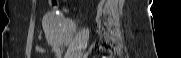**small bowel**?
<instances>
[{"mask_svg": "<svg viewBox=\"0 0 181 58\" xmlns=\"http://www.w3.org/2000/svg\"><path fill=\"white\" fill-rule=\"evenodd\" d=\"M49 3L53 8H57L59 6L58 1H56V0H51V1H49ZM35 51L38 53L53 52L55 54L56 58H61V51H60L59 47H57V46H54L51 50H47L41 46L36 45Z\"/></svg>", "mask_w": 181, "mask_h": 58, "instance_id": "small-bowel-1", "label": "small bowel"}]
</instances>
